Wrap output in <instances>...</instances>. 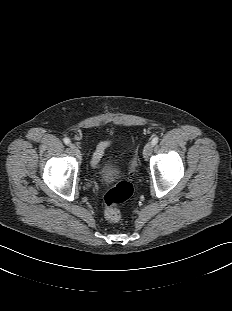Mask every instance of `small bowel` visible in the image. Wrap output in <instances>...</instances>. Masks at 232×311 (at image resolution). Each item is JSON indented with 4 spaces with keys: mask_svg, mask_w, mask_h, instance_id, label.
Listing matches in <instances>:
<instances>
[{
    "mask_svg": "<svg viewBox=\"0 0 232 311\" xmlns=\"http://www.w3.org/2000/svg\"><path fill=\"white\" fill-rule=\"evenodd\" d=\"M111 145V140H104L100 142L95 150V152L92 155L91 159V166L93 168H99L101 165V158L104 154V151L106 150L107 147Z\"/></svg>",
    "mask_w": 232,
    "mask_h": 311,
    "instance_id": "obj_1",
    "label": "small bowel"
}]
</instances>
